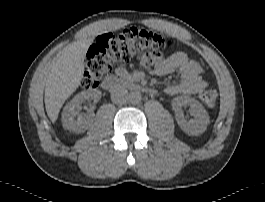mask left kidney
<instances>
[{"label": "left kidney", "mask_w": 265, "mask_h": 202, "mask_svg": "<svg viewBox=\"0 0 265 202\" xmlns=\"http://www.w3.org/2000/svg\"><path fill=\"white\" fill-rule=\"evenodd\" d=\"M189 106L193 119L186 120L182 108ZM175 118L181 129L188 135L198 136L204 133L210 123L206 109L197 100L189 96H178L172 100Z\"/></svg>", "instance_id": "obj_1"}]
</instances>
